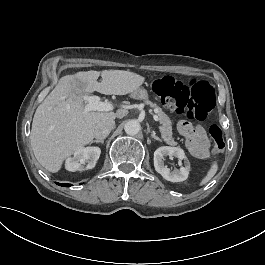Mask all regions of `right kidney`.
<instances>
[{
  "instance_id": "obj_1",
  "label": "right kidney",
  "mask_w": 265,
  "mask_h": 265,
  "mask_svg": "<svg viewBox=\"0 0 265 265\" xmlns=\"http://www.w3.org/2000/svg\"><path fill=\"white\" fill-rule=\"evenodd\" d=\"M99 147L80 148L76 151L74 158L66 162L69 171L93 169L100 157Z\"/></svg>"
}]
</instances>
